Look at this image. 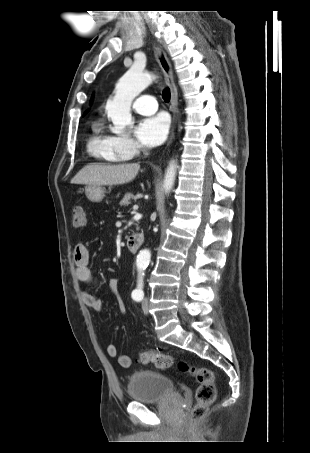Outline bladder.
<instances>
[{"label":"bladder","instance_id":"1","mask_svg":"<svg viewBox=\"0 0 310 453\" xmlns=\"http://www.w3.org/2000/svg\"><path fill=\"white\" fill-rule=\"evenodd\" d=\"M127 391L130 399L139 403L158 402L175 395L174 384L168 376L148 370L133 373L128 379Z\"/></svg>","mask_w":310,"mask_h":453}]
</instances>
